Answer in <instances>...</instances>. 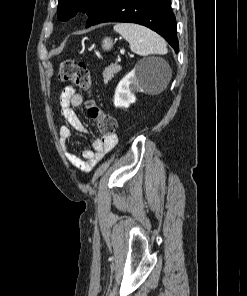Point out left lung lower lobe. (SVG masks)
<instances>
[{
    "mask_svg": "<svg viewBox=\"0 0 247 296\" xmlns=\"http://www.w3.org/2000/svg\"><path fill=\"white\" fill-rule=\"evenodd\" d=\"M104 22H130L144 25L165 38L179 51L177 25L170 0H106L89 17L86 27Z\"/></svg>",
    "mask_w": 247,
    "mask_h": 296,
    "instance_id": "0a47b994",
    "label": "left lung lower lobe"
}]
</instances>
